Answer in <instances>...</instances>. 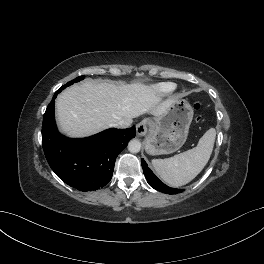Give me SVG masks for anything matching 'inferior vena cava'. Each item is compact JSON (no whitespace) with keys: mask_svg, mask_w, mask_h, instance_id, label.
Here are the masks:
<instances>
[{"mask_svg":"<svg viewBox=\"0 0 264 264\" xmlns=\"http://www.w3.org/2000/svg\"><path fill=\"white\" fill-rule=\"evenodd\" d=\"M128 126L129 124L125 121H119L113 124V127H117V128H127Z\"/></svg>","mask_w":264,"mask_h":264,"instance_id":"602c4592","label":"inferior vena cava"}]
</instances>
